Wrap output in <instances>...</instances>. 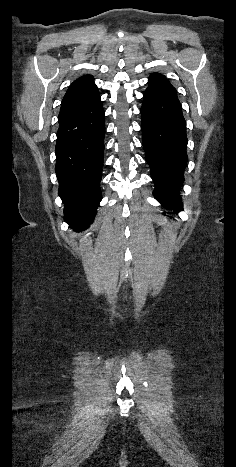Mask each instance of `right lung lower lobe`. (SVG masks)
<instances>
[{
	"label": "right lung lower lobe",
	"mask_w": 236,
	"mask_h": 467,
	"mask_svg": "<svg viewBox=\"0 0 236 467\" xmlns=\"http://www.w3.org/2000/svg\"><path fill=\"white\" fill-rule=\"evenodd\" d=\"M55 172L64 203V221L86 229L102 199L105 123L100 97L84 109L58 119Z\"/></svg>",
	"instance_id": "right-lung-lower-lobe-1"
}]
</instances>
